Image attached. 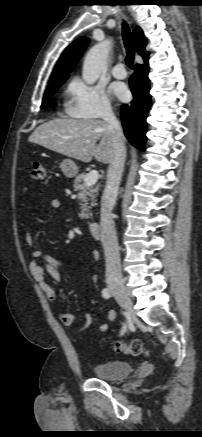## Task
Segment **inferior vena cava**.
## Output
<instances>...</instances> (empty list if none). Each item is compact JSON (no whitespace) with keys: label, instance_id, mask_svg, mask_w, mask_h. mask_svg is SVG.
<instances>
[{"label":"inferior vena cava","instance_id":"1","mask_svg":"<svg viewBox=\"0 0 202 437\" xmlns=\"http://www.w3.org/2000/svg\"><path fill=\"white\" fill-rule=\"evenodd\" d=\"M102 118L111 129L114 154L108 166L106 186L101 200V241L105 253L106 281L108 283H119L122 281V273L112 210L116 202L124 168L126 149L121 125L112 109H105Z\"/></svg>","mask_w":202,"mask_h":437}]
</instances>
